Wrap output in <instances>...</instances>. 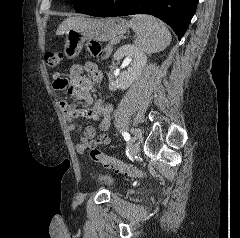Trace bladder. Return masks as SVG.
Returning <instances> with one entry per match:
<instances>
[{
  "label": "bladder",
  "mask_w": 240,
  "mask_h": 238,
  "mask_svg": "<svg viewBox=\"0 0 240 238\" xmlns=\"http://www.w3.org/2000/svg\"><path fill=\"white\" fill-rule=\"evenodd\" d=\"M101 179L106 180L107 182H112V179L107 176H102Z\"/></svg>",
  "instance_id": "1"
}]
</instances>
